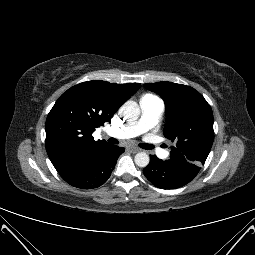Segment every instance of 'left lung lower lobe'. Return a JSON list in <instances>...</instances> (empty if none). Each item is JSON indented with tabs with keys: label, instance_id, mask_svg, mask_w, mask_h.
<instances>
[{
	"label": "left lung lower lobe",
	"instance_id": "0a47b994",
	"mask_svg": "<svg viewBox=\"0 0 255 255\" xmlns=\"http://www.w3.org/2000/svg\"><path fill=\"white\" fill-rule=\"evenodd\" d=\"M143 173L156 187L175 189L189 183L198 172L167 163L155 155H151L150 163L144 168Z\"/></svg>",
	"mask_w": 255,
	"mask_h": 255
}]
</instances>
